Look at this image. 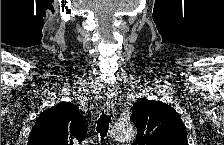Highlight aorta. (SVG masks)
<instances>
[{"instance_id": "aorta-1", "label": "aorta", "mask_w": 224, "mask_h": 145, "mask_svg": "<svg viewBox=\"0 0 224 145\" xmlns=\"http://www.w3.org/2000/svg\"><path fill=\"white\" fill-rule=\"evenodd\" d=\"M110 136L118 142L131 141L136 136V130L131 123H116L111 130Z\"/></svg>"}]
</instances>
